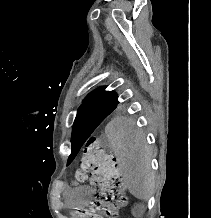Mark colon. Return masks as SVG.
<instances>
[{
    "label": "colon",
    "mask_w": 211,
    "mask_h": 218,
    "mask_svg": "<svg viewBox=\"0 0 211 218\" xmlns=\"http://www.w3.org/2000/svg\"><path fill=\"white\" fill-rule=\"evenodd\" d=\"M75 180H89L97 190L88 210L93 218H102V215L115 218L118 210L127 204L116 158L103 149L96 137H90L86 142Z\"/></svg>",
    "instance_id": "obj_1"
}]
</instances>
